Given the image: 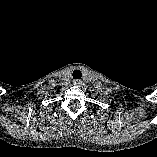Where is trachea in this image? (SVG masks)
I'll return each instance as SVG.
<instances>
[{"instance_id":"3493384b","label":"trachea","mask_w":157,"mask_h":157,"mask_svg":"<svg viewBox=\"0 0 157 157\" xmlns=\"http://www.w3.org/2000/svg\"><path fill=\"white\" fill-rule=\"evenodd\" d=\"M72 76H73L74 79H78L79 80L82 77V73H81L80 70H74Z\"/></svg>"}]
</instances>
